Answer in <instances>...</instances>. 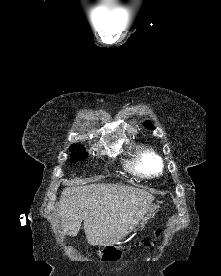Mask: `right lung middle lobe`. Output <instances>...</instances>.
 <instances>
[{
	"label": "right lung middle lobe",
	"mask_w": 221,
	"mask_h": 276,
	"mask_svg": "<svg viewBox=\"0 0 221 276\" xmlns=\"http://www.w3.org/2000/svg\"><path fill=\"white\" fill-rule=\"evenodd\" d=\"M69 151L72 153L71 162L73 163L84 160L87 157V153H85V149L81 145L73 144L70 146Z\"/></svg>",
	"instance_id": "1"
}]
</instances>
